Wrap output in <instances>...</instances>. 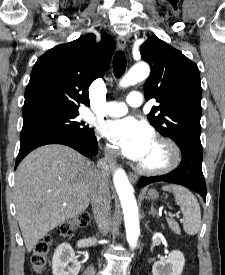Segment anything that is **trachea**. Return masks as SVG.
Returning <instances> with one entry per match:
<instances>
[{
	"mask_svg": "<svg viewBox=\"0 0 225 275\" xmlns=\"http://www.w3.org/2000/svg\"><path fill=\"white\" fill-rule=\"evenodd\" d=\"M126 56L123 51H117L113 58V72L116 78H120L126 70Z\"/></svg>",
	"mask_w": 225,
	"mask_h": 275,
	"instance_id": "obj_1",
	"label": "trachea"
}]
</instances>
